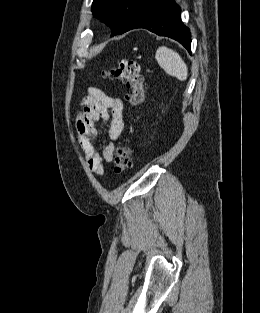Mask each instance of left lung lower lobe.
I'll list each match as a JSON object with an SVG mask.
<instances>
[{
	"label": "left lung lower lobe",
	"mask_w": 260,
	"mask_h": 313,
	"mask_svg": "<svg viewBox=\"0 0 260 313\" xmlns=\"http://www.w3.org/2000/svg\"><path fill=\"white\" fill-rule=\"evenodd\" d=\"M180 7L173 0H153L125 29L145 28L180 42L191 53V33L182 23Z\"/></svg>",
	"instance_id": "1"
}]
</instances>
